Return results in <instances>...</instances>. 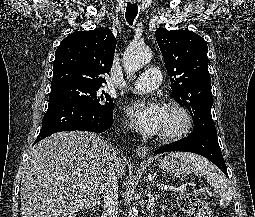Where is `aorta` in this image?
<instances>
[{
    "mask_svg": "<svg viewBox=\"0 0 255 217\" xmlns=\"http://www.w3.org/2000/svg\"><path fill=\"white\" fill-rule=\"evenodd\" d=\"M151 58L152 53L149 48L136 44L129 45L123 54V67L125 72L132 75L149 63ZM128 217H138V210L135 207L130 208Z\"/></svg>",
    "mask_w": 255,
    "mask_h": 217,
    "instance_id": "obj_1",
    "label": "aorta"
}]
</instances>
